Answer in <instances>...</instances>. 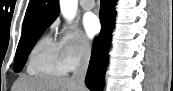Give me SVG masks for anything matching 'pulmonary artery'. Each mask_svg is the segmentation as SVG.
<instances>
[{
  "instance_id": "obj_1",
  "label": "pulmonary artery",
  "mask_w": 173,
  "mask_h": 91,
  "mask_svg": "<svg viewBox=\"0 0 173 91\" xmlns=\"http://www.w3.org/2000/svg\"><path fill=\"white\" fill-rule=\"evenodd\" d=\"M80 5L84 10H91L95 6L94 0H81Z\"/></svg>"
}]
</instances>
